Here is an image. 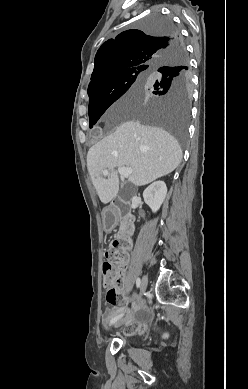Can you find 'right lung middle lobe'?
Returning a JSON list of instances; mask_svg holds the SVG:
<instances>
[{
	"label": "right lung middle lobe",
	"mask_w": 248,
	"mask_h": 389,
	"mask_svg": "<svg viewBox=\"0 0 248 389\" xmlns=\"http://www.w3.org/2000/svg\"><path fill=\"white\" fill-rule=\"evenodd\" d=\"M140 27L156 36L176 32L172 20L158 13L146 16ZM143 81L149 83V90L159 99L155 102L120 104L116 114L163 127L177 138L181 146L185 145L191 106V74L186 56L175 53L150 70L138 68L116 73L107 84L89 92V127L92 128L131 86L135 87Z\"/></svg>",
	"instance_id": "obj_1"
}]
</instances>
